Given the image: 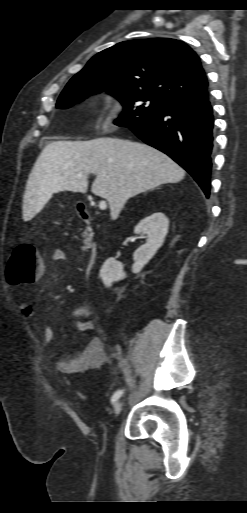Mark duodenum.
<instances>
[{"label":"duodenum","instance_id":"410a0bca","mask_svg":"<svg viewBox=\"0 0 247 513\" xmlns=\"http://www.w3.org/2000/svg\"><path fill=\"white\" fill-rule=\"evenodd\" d=\"M78 211H79V214H80V216L82 217V219L84 221L89 222L91 220L90 212H89L88 208L86 207V205L84 203H79L78 204ZM97 258H98L97 253L96 252H92L91 255H90V262L92 264H94L96 262Z\"/></svg>","mask_w":247,"mask_h":513}]
</instances>
